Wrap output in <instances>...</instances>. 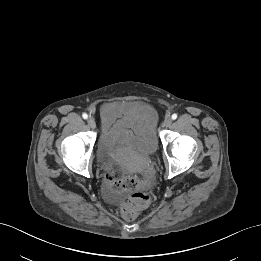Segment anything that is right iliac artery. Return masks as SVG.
Segmentation results:
<instances>
[{"label":"right iliac artery","instance_id":"1","mask_svg":"<svg viewBox=\"0 0 261 261\" xmlns=\"http://www.w3.org/2000/svg\"><path fill=\"white\" fill-rule=\"evenodd\" d=\"M82 117H83L84 119H87V118H88V115H87L86 113H84V114L82 115Z\"/></svg>","mask_w":261,"mask_h":261}]
</instances>
